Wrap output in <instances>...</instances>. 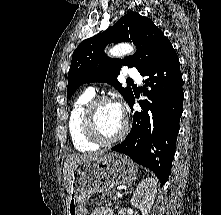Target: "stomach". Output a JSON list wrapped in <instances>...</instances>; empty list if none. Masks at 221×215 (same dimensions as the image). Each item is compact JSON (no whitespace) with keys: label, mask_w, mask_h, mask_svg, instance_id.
I'll return each instance as SVG.
<instances>
[{"label":"stomach","mask_w":221,"mask_h":215,"mask_svg":"<svg viewBox=\"0 0 221 215\" xmlns=\"http://www.w3.org/2000/svg\"><path fill=\"white\" fill-rule=\"evenodd\" d=\"M138 169L127 157L108 153L79 163L68 183L67 215H87L86 202L96 192H108L136 179Z\"/></svg>","instance_id":"1"}]
</instances>
